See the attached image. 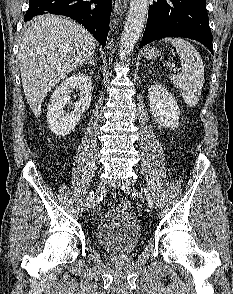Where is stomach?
<instances>
[{"mask_svg":"<svg viewBox=\"0 0 233 294\" xmlns=\"http://www.w3.org/2000/svg\"><path fill=\"white\" fill-rule=\"evenodd\" d=\"M158 51L155 47H149L144 50V57L149 60H153L157 57Z\"/></svg>","mask_w":233,"mask_h":294,"instance_id":"0dacf381","label":"stomach"}]
</instances>
